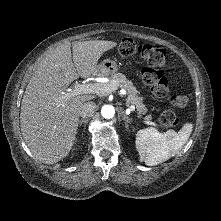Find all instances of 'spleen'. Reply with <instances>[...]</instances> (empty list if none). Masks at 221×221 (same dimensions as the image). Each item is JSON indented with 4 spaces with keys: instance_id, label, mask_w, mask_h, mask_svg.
<instances>
[{
    "instance_id": "3e777b00",
    "label": "spleen",
    "mask_w": 221,
    "mask_h": 221,
    "mask_svg": "<svg viewBox=\"0 0 221 221\" xmlns=\"http://www.w3.org/2000/svg\"><path fill=\"white\" fill-rule=\"evenodd\" d=\"M192 129L193 124L186 123L178 132L168 130L160 133L153 127L139 130L135 144L140 160L146 165L154 166L170 159L186 144Z\"/></svg>"
}]
</instances>
